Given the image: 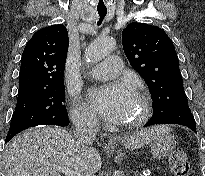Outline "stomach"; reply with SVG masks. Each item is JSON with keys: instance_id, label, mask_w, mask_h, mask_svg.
I'll list each match as a JSON object with an SVG mask.
<instances>
[{"instance_id": "obj_1", "label": "stomach", "mask_w": 205, "mask_h": 176, "mask_svg": "<svg viewBox=\"0 0 205 176\" xmlns=\"http://www.w3.org/2000/svg\"><path fill=\"white\" fill-rule=\"evenodd\" d=\"M176 146V139L169 133L168 130H161L155 132L154 137L149 142V147L154 158H164Z\"/></svg>"}]
</instances>
